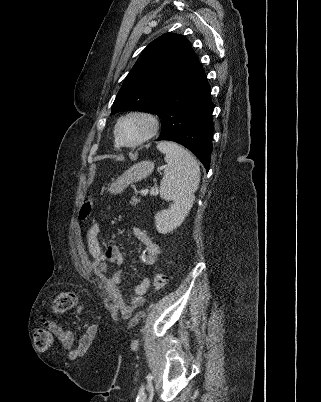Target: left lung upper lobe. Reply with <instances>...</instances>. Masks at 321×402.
I'll return each mask as SVG.
<instances>
[{
	"label": "left lung upper lobe",
	"mask_w": 321,
	"mask_h": 402,
	"mask_svg": "<svg viewBox=\"0 0 321 402\" xmlns=\"http://www.w3.org/2000/svg\"><path fill=\"white\" fill-rule=\"evenodd\" d=\"M199 64L190 42L182 35L166 33L152 41L124 79L111 108L146 111L160 117L168 94Z\"/></svg>",
	"instance_id": "left-lung-upper-lobe-1"
}]
</instances>
